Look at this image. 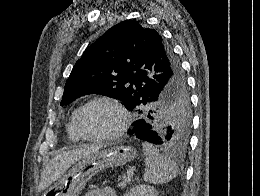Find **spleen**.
Masks as SVG:
<instances>
[{
	"mask_svg": "<svg viewBox=\"0 0 260 196\" xmlns=\"http://www.w3.org/2000/svg\"><path fill=\"white\" fill-rule=\"evenodd\" d=\"M146 170L143 174L144 182L148 184H167L173 178L177 176V166L171 158L167 156H162L159 150L153 146V144H148L144 142L142 144Z\"/></svg>",
	"mask_w": 260,
	"mask_h": 196,
	"instance_id": "3e777b00",
	"label": "spleen"
}]
</instances>
